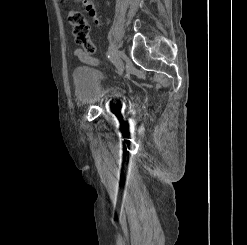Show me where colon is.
<instances>
[{"mask_svg":"<svg viewBox=\"0 0 247 245\" xmlns=\"http://www.w3.org/2000/svg\"><path fill=\"white\" fill-rule=\"evenodd\" d=\"M68 21L73 27V34L76 42L80 44L87 53H94L95 46L90 39V28L84 14L78 10H70L68 12Z\"/></svg>","mask_w":247,"mask_h":245,"instance_id":"colon-1","label":"colon"}]
</instances>
